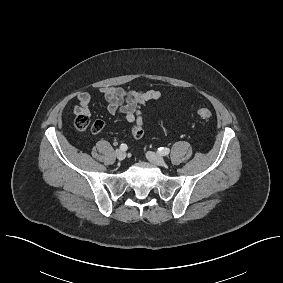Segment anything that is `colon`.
<instances>
[{
    "label": "colon",
    "mask_w": 283,
    "mask_h": 283,
    "mask_svg": "<svg viewBox=\"0 0 283 283\" xmlns=\"http://www.w3.org/2000/svg\"><path fill=\"white\" fill-rule=\"evenodd\" d=\"M197 115L204 120H208L212 117V112L207 108H199ZM76 129L82 133H99L103 129V122L96 121L90 124V121L86 115H77L74 121Z\"/></svg>",
    "instance_id": "obj_1"
}]
</instances>
